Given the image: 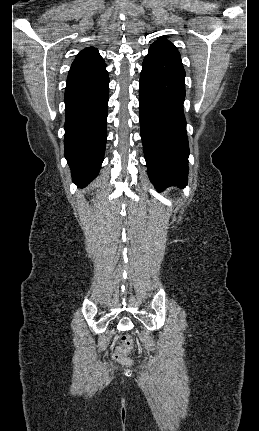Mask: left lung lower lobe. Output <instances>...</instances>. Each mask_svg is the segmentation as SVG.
Here are the masks:
<instances>
[{
	"instance_id": "0a47b994",
	"label": "left lung lower lobe",
	"mask_w": 259,
	"mask_h": 431,
	"mask_svg": "<svg viewBox=\"0 0 259 431\" xmlns=\"http://www.w3.org/2000/svg\"><path fill=\"white\" fill-rule=\"evenodd\" d=\"M184 78L177 48L161 39L152 43L140 76L139 117L148 176L157 190L187 184Z\"/></svg>"
}]
</instances>
